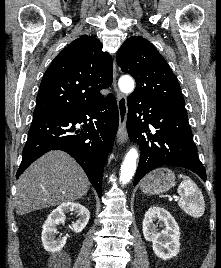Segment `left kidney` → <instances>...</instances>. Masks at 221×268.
Instances as JSON below:
<instances>
[{
    "mask_svg": "<svg viewBox=\"0 0 221 268\" xmlns=\"http://www.w3.org/2000/svg\"><path fill=\"white\" fill-rule=\"evenodd\" d=\"M158 220L161 231L154 222ZM143 235L152 242L154 253L164 260L175 257L180 250V230L174 217L164 208L153 206L148 209L143 219Z\"/></svg>",
    "mask_w": 221,
    "mask_h": 268,
    "instance_id": "obj_1",
    "label": "left kidney"
}]
</instances>
